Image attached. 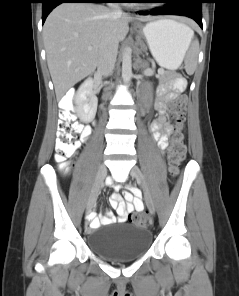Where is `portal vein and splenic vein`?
<instances>
[{"label":"portal vein and splenic vein","mask_w":239,"mask_h":296,"mask_svg":"<svg viewBox=\"0 0 239 296\" xmlns=\"http://www.w3.org/2000/svg\"><path fill=\"white\" fill-rule=\"evenodd\" d=\"M88 49H89V50H91V49H92V47L90 46V47H88Z\"/></svg>","instance_id":"portal-vein-and-splenic-vein-1"}]
</instances>
